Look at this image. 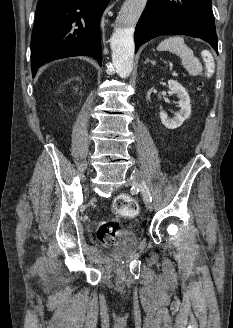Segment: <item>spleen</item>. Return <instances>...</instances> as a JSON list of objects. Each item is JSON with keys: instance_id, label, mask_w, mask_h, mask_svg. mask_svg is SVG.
<instances>
[{"instance_id": "obj_1", "label": "spleen", "mask_w": 233, "mask_h": 328, "mask_svg": "<svg viewBox=\"0 0 233 328\" xmlns=\"http://www.w3.org/2000/svg\"><path fill=\"white\" fill-rule=\"evenodd\" d=\"M158 51H169L182 60V66L186 71L192 75L197 76L202 74V64L199 59L194 56L192 49H190L184 42L181 36H172L164 39L157 47Z\"/></svg>"}]
</instances>
